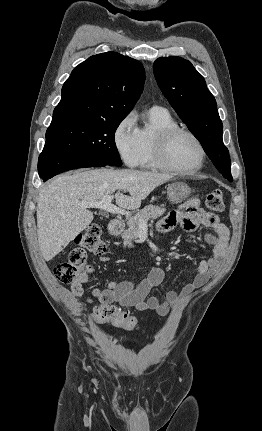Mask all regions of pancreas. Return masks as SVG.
<instances>
[{"label":"pancreas","mask_w":262,"mask_h":431,"mask_svg":"<svg viewBox=\"0 0 262 431\" xmlns=\"http://www.w3.org/2000/svg\"><path fill=\"white\" fill-rule=\"evenodd\" d=\"M165 211L166 210L164 208L154 205H147L140 212H138L135 217L129 218L127 221L128 229L125 230L121 235L122 239L124 240V244L131 247L132 241L138 238L140 219H143L144 222L147 223L148 220L157 219L158 217L162 216Z\"/></svg>","instance_id":"pancreas-1"}]
</instances>
